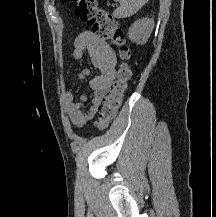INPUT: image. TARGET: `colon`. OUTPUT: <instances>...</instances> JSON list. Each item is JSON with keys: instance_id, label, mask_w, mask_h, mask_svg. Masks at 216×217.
<instances>
[{"instance_id": "colon-1", "label": "colon", "mask_w": 216, "mask_h": 217, "mask_svg": "<svg viewBox=\"0 0 216 217\" xmlns=\"http://www.w3.org/2000/svg\"><path fill=\"white\" fill-rule=\"evenodd\" d=\"M67 2L74 3L75 15L91 26L95 33L101 35L118 51L120 62L113 87L98 108L96 127L104 129L115 118L132 77V70L128 64L130 50L123 30L109 12L98 6L96 0H61L63 4Z\"/></svg>"}]
</instances>
